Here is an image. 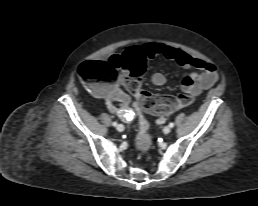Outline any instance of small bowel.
<instances>
[{
	"mask_svg": "<svg viewBox=\"0 0 258 206\" xmlns=\"http://www.w3.org/2000/svg\"><path fill=\"white\" fill-rule=\"evenodd\" d=\"M140 53L146 58L163 57L167 60L174 61L183 68L195 69L190 75L183 78L181 89L192 96L199 95L202 91L210 88L218 80L216 67L209 62L199 58H194L186 52L175 49L163 43H146L142 46H131L125 49L121 54H116L108 59V62L116 66H121L125 59ZM155 86H162L166 83V77L162 73H155L151 78ZM99 95L105 99L108 110L125 119L131 120L134 112L129 109L130 97L124 93L118 86L102 87ZM115 103H118L117 106ZM165 117L160 116L157 123H164Z\"/></svg>",
	"mask_w": 258,
	"mask_h": 206,
	"instance_id": "c3829d8e",
	"label": "small bowel"
}]
</instances>
